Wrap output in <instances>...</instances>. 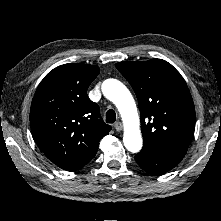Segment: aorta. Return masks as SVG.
Segmentation results:
<instances>
[{
	"mask_svg": "<svg viewBox=\"0 0 221 221\" xmlns=\"http://www.w3.org/2000/svg\"><path fill=\"white\" fill-rule=\"evenodd\" d=\"M102 92L116 105L121 114L124 123L123 143L125 148L132 153L139 152L143 140L136 104L130 91L120 81L107 79L102 84Z\"/></svg>",
	"mask_w": 221,
	"mask_h": 221,
	"instance_id": "762f6f07",
	"label": "aorta"
}]
</instances>
